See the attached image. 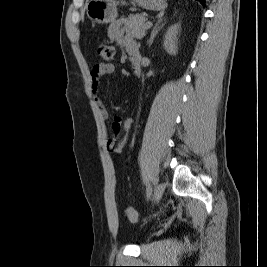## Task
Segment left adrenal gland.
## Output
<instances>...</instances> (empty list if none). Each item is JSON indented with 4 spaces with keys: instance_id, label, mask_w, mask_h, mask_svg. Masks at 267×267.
<instances>
[{
    "instance_id": "a2214340",
    "label": "left adrenal gland",
    "mask_w": 267,
    "mask_h": 267,
    "mask_svg": "<svg viewBox=\"0 0 267 267\" xmlns=\"http://www.w3.org/2000/svg\"><path fill=\"white\" fill-rule=\"evenodd\" d=\"M165 23H166V19L162 18V17H160L159 20L155 23V25L151 31L150 38L147 41L149 47L152 45L154 38L156 37L158 32L163 28Z\"/></svg>"
}]
</instances>
